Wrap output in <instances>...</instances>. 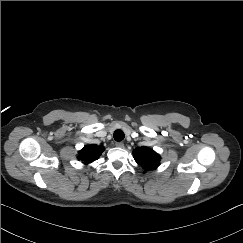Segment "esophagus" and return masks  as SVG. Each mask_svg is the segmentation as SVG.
<instances>
[{"instance_id":"obj_1","label":"esophagus","mask_w":243,"mask_h":243,"mask_svg":"<svg viewBox=\"0 0 243 243\" xmlns=\"http://www.w3.org/2000/svg\"><path fill=\"white\" fill-rule=\"evenodd\" d=\"M115 146L118 148H123L124 147V143L123 142H116Z\"/></svg>"}]
</instances>
